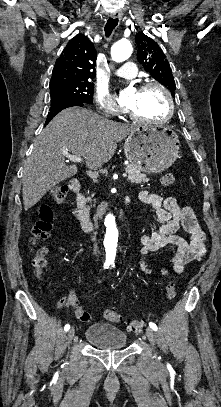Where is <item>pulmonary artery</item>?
<instances>
[{"label": "pulmonary artery", "instance_id": "e3ab8cb5", "mask_svg": "<svg viewBox=\"0 0 221 407\" xmlns=\"http://www.w3.org/2000/svg\"><path fill=\"white\" fill-rule=\"evenodd\" d=\"M116 75L124 78H133L136 75V66L131 61H125L124 64L116 70Z\"/></svg>", "mask_w": 221, "mask_h": 407}]
</instances>
